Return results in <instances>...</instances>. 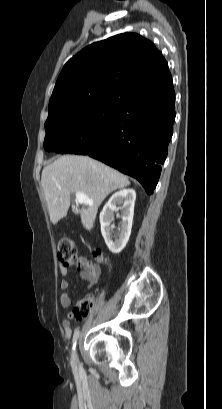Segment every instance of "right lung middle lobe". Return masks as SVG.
I'll list each match as a JSON object with an SVG mask.
<instances>
[{
  "label": "right lung middle lobe",
  "mask_w": 222,
  "mask_h": 409,
  "mask_svg": "<svg viewBox=\"0 0 222 409\" xmlns=\"http://www.w3.org/2000/svg\"><path fill=\"white\" fill-rule=\"evenodd\" d=\"M118 103L75 104L48 114L44 149L87 155L104 142Z\"/></svg>",
  "instance_id": "right-lung-middle-lobe-1"
}]
</instances>
